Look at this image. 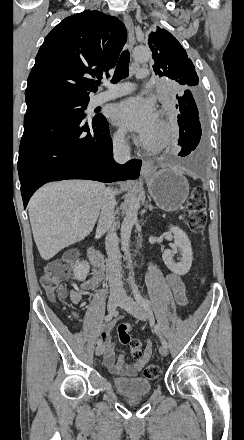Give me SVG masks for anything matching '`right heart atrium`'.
Here are the masks:
<instances>
[{
    "mask_svg": "<svg viewBox=\"0 0 244 440\" xmlns=\"http://www.w3.org/2000/svg\"><path fill=\"white\" fill-rule=\"evenodd\" d=\"M126 132L123 129H118L113 136L115 145H122L126 142ZM150 135H143V139H150Z\"/></svg>",
    "mask_w": 244,
    "mask_h": 440,
    "instance_id": "1",
    "label": "right heart atrium"
}]
</instances>
